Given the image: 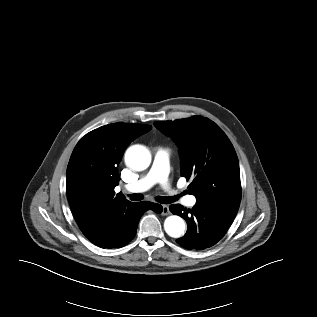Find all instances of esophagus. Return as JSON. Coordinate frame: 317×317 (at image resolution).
I'll return each instance as SVG.
<instances>
[{
    "label": "esophagus",
    "mask_w": 317,
    "mask_h": 317,
    "mask_svg": "<svg viewBox=\"0 0 317 317\" xmlns=\"http://www.w3.org/2000/svg\"><path fill=\"white\" fill-rule=\"evenodd\" d=\"M169 213H170L169 207H168L167 205H163V206H162L161 214H162V215H168Z\"/></svg>",
    "instance_id": "34e87169"
}]
</instances>
